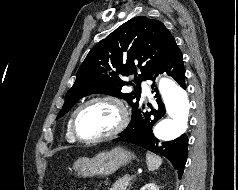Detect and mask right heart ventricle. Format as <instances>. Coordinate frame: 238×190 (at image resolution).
I'll return each mask as SVG.
<instances>
[{
    "mask_svg": "<svg viewBox=\"0 0 238 190\" xmlns=\"http://www.w3.org/2000/svg\"><path fill=\"white\" fill-rule=\"evenodd\" d=\"M66 137L69 141H74V137L71 133V129H70V124L68 125V129H67V133H66Z\"/></svg>",
    "mask_w": 238,
    "mask_h": 190,
    "instance_id": "right-heart-ventricle-1",
    "label": "right heart ventricle"
}]
</instances>
